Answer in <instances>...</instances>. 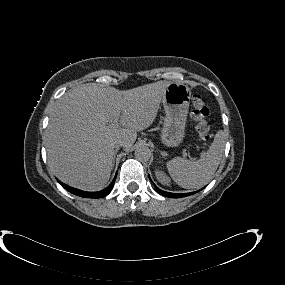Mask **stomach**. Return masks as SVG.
Here are the masks:
<instances>
[{"label": "stomach", "mask_w": 285, "mask_h": 285, "mask_svg": "<svg viewBox=\"0 0 285 285\" xmlns=\"http://www.w3.org/2000/svg\"><path fill=\"white\" fill-rule=\"evenodd\" d=\"M190 97L189 87L182 83L172 82L164 92L162 103L166 117L160 140L167 147H177L185 137Z\"/></svg>", "instance_id": "1"}]
</instances>
